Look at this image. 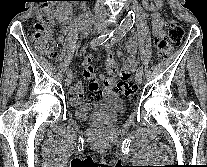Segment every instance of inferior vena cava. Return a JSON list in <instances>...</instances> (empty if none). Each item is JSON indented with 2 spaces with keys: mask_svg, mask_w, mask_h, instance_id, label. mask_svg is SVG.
I'll return each instance as SVG.
<instances>
[{
  "mask_svg": "<svg viewBox=\"0 0 207 167\" xmlns=\"http://www.w3.org/2000/svg\"><path fill=\"white\" fill-rule=\"evenodd\" d=\"M97 12L102 16L106 15V9L104 8V6L98 7Z\"/></svg>",
  "mask_w": 207,
  "mask_h": 167,
  "instance_id": "obj_1",
  "label": "inferior vena cava"
}]
</instances>
